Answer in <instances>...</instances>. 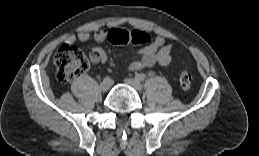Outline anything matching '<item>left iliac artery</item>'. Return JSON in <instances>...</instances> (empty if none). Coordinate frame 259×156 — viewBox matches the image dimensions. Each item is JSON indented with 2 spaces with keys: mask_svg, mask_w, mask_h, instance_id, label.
I'll return each mask as SVG.
<instances>
[{
  "mask_svg": "<svg viewBox=\"0 0 259 156\" xmlns=\"http://www.w3.org/2000/svg\"><path fill=\"white\" fill-rule=\"evenodd\" d=\"M136 79L139 80V81H143V80L146 79V75L143 74V73L137 74Z\"/></svg>",
  "mask_w": 259,
  "mask_h": 156,
  "instance_id": "left-iliac-artery-1",
  "label": "left iliac artery"
}]
</instances>
